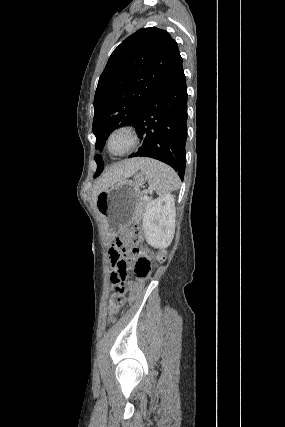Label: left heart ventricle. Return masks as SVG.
<instances>
[{"label": "left heart ventricle", "mask_w": 285, "mask_h": 427, "mask_svg": "<svg viewBox=\"0 0 285 427\" xmlns=\"http://www.w3.org/2000/svg\"><path fill=\"white\" fill-rule=\"evenodd\" d=\"M130 143V139L127 134L120 133L116 134L110 143L111 150L114 152H122L124 151Z\"/></svg>", "instance_id": "obj_1"}]
</instances>
